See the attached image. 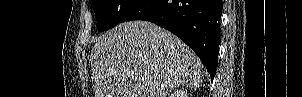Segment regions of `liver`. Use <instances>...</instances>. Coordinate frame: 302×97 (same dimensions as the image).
Here are the masks:
<instances>
[{
	"label": "liver",
	"instance_id": "6515ba94",
	"mask_svg": "<svg viewBox=\"0 0 302 97\" xmlns=\"http://www.w3.org/2000/svg\"><path fill=\"white\" fill-rule=\"evenodd\" d=\"M95 97H167L203 79L198 56L178 37L147 21L107 31L90 54Z\"/></svg>",
	"mask_w": 302,
	"mask_h": 97
}]
</instances>
